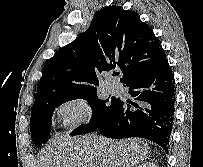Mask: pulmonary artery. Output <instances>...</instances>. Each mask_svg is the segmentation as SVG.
Listing matches in <instances>:
<instances>
[{"label": "pulmonary artery", "instance_id": "obj_1", "mask_svg": "<svg viewBox=\"0 0 203 167\" xmlns=\"http://www.w3.org/2000/svg\"><path fill=\"white\" fill-rule=\"evenodd\" d=\"M108 88L111 92H116L119 89V85L116 82H109Z\"/></svg>", "mask_w": 203, "mask_h": 167}]
</instances>
